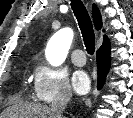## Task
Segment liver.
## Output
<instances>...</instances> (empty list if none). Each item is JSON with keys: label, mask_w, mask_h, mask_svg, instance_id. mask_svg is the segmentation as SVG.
<instances>
[{"label": "liver", "mask_w": 133, "mask_h": 118, "mask_svg": "<svg viewBox=\"0 0 133 118\" xmlns=\"http://www.w3.org/2000/svg\"><path fill=\"white\" fill-rule=\"evenodd\" d=\"M0 118H53L51 108L41 104H18L7 108Z\"/></svg>", "instance_id": "1"}]
</instances>
